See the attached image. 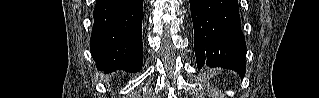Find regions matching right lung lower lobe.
<instances>
[{
	"label": "right lung lower lobe",
	"mask_w": 319,
	"mask_h": 98,
	"mask_svg": "<svg viewBox=\"0 0 319 98\" xmlns=\"http://www.w3.org/2000/svg\"><path fill=\"white\" fill-rule=\"evenodd\" d=\"M142 12L143 0L96 1L90 50L98 70H141Z\"/></svg>",
	"instance_id": "1"
}]
</instances>
